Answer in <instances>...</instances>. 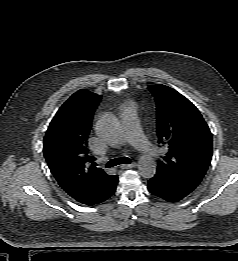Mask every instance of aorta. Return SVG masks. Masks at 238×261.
<instances>
[{"label": "aorta", "instance_id": "762f6f07", "mask_svg": "<svg viewBox=\"0 0 238 261\" xmlns=\"http://www.w3.org/2000/svg\"><path fill=\"white\" fill-rule=\"evenodd\" d=\"M97 129L100 135L109 141H117L121 134L118 120L111 114L101 119ZM138 169L143 178H152L156 173V162L152 157L143 155L139 158Z\"/></svg>", "mask_w": 238, "mask_h": 261}]
</instances>
